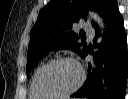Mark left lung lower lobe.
<instances>
[{
  "label": "left lung lower lobe",
  "mask_w": 128,
  "mask_h": 99,
  "mask_svg": "<svg viewBox=\"0 0 128 99\" xmlns=\"http://www.w3.org/2000/svg\"><path fill=\"white\" fill-rule=\"evenodd\" d=\"M106 22L107 32L103 40L94 44L99 51L93 53L89 48L83 58L93 54L94 62L88 63V78L84 85L71 97L91 99H125L128 78L127 38L123 18L116 0H106L101 12ZM96 38L102 36L97 24Z\"/></svg>",
  "instance_id": "0a47b994"
}]
</instances>
